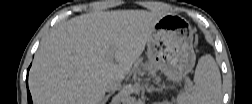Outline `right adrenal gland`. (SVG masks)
I'll use <instances>...</instances> for the list:
<instances>
[{
    "mask_svg": "<svg viewBox=\"0 0 252 104\" xmlns=\"http://www.w3.org/2000/svg\"><path fill=\"white\" fill-rule=\"evenodd\" d=\"M112 95H113V93L107 94V95L103 98L101 104H106L107 101H108V99H109Z\"/></svg>",
    "mask_w": 252,
    "mask_h": 104,
    "instance_id": "1",
    "label": "right adrenal gland"
}]
</instances>
